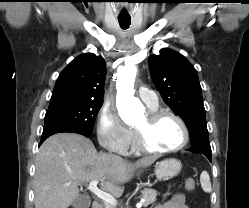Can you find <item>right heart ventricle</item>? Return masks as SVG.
Here are the masks:
<instances>
[{
    "mask_svg": "<svg viewBox=\"0 0 249 208\" xmlns=\"http://www.w3.org/2000/svg\"><path fill=\"white\" fill-rule=\"evenodd\" d=\"M158 107H155V108H150V111H155L157 110ZM130 147H131V150L132 151H138L136 146H135V139H134V134L131 132V144H130Z\"/></svg>",
    "mask_w": 249,
    "mask_h": 208,
    "instance_id": "e07e8e85",
    "label": "right heart ventricle"
}]
</instances>
